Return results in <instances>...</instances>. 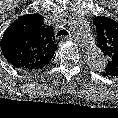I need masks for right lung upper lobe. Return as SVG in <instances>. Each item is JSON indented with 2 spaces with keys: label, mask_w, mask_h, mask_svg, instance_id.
Listing matches in <instances>:
<instances>
[{
  "label": "right lung upper lobe",
  "mask_w": 118,
  "mask_h": 118,
  "mask_svg": "<svg viewBox=\"0 0 118 118\" xmlns=\"http://www.w3.org/2000/svg\"><path fill=\"white\" fill-rule=\"evenodd\" d=\"M0 46L7 61L24 70L44 67L57 49L53 27L45 25L38 14L16 19L4 32Z\"/></svg>",
  "instance_id": "cb5924a9"
}]
</instances>
